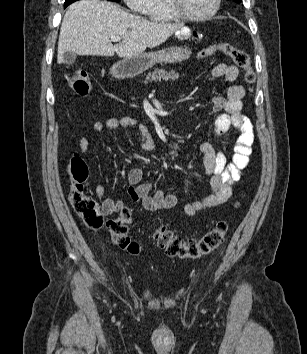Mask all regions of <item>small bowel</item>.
Instances as JSON below:
<instances>
[{"label":"small bowel","instance_id":"obj_1","mask_svg":"<svg viewBox=\"0 0 307 354\" xmlns=\"http://www.w3.org/2000/svg\"><path fill=\"white\" fill-rule=\"evenodd\" d=\"M174 38H194L195 32L189 29H176ZM239 70L232 65L220 63L212 70L214 78H224L227 82H234L238 78ZM245 96V89L242 85L234 84L227 90L226 96L213 98L215 111L218 113L215 122V132L218 136H223L231 129L239 132L234 146L232 162L227 163L223 153L216 152L209 142H203L200 146L204 154V167L206 174L210 177V192L203 198L188 203L184 206V213L193 216L197 212L207 210L214 206L226 202L232 195V185L242 177L244 169L248 166L252 153L254 141V131L251 121L242 114V99ZM137 127L140 138V145L146 150L156 148L153 137L146 125L133 117L109 118L103 122L92 123L91 130L100 133L104 129L114 130L118 128ZM79 149L82 153H87L90 149V141L83 137L79 141ZM143 171L139 167L132 168L127 174L129 184L128 195L134 202H141L147 211H157L161 209H172L177 206V197L173 194L165 193L162 190L150 195L151 185L149 183L139 184L142 180ZM105 188L102 185L95 187V195L102 198ZM103 206L107 213L117 212L123 207L122 201L106 199Z\"/></svg>","mask_w":307,"mask_h":354}]
</instances>
